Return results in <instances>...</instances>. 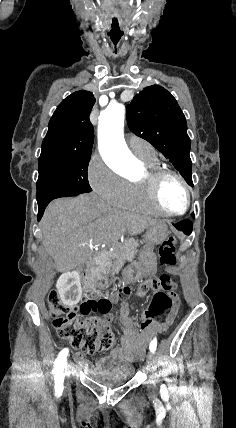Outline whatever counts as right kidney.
<instances>
[{
  "instance_id": "1",
  "label": "right kidney",
  "mask_w": 236,
  "mask_h": 428,
  "mask_svg": "<svg viewBox=\"0 0 236 428\" xmlns=\"http://www.w3.org/2000/svg\"><path fill=\"white\" fill-rule=\"evenodd\" d=\"M57 290L63 304H66V306H74V304H78L82 296V288L78 272H75L74 269H67L66 273L61 276V280H58L57 282ZM68 292H72V298H70Z\"/></svg>"
}]
</instances>
